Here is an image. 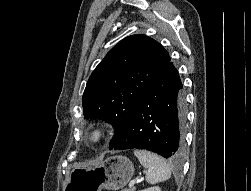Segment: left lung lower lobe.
<instances>
[{"label":"left lung lower lobe","mask_w":251,"mask_h":191,"mask_svg":"<svg viewBox=\"0 0 251 191\" xmlns=\"http://www.w3.org/2000/svg\"><path fill=\"white\" fill-rule=\"evenodd\" d=\"M177 69L170 61L134 110L111 149H146L165 158L182 152L184 96Z\"/></svg>","instance_id":"1"}]
</instances>
